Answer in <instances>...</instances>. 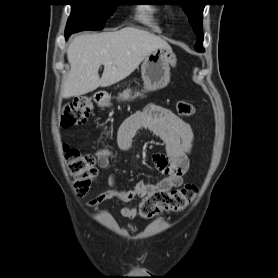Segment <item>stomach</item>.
<instances>
[{"label": "stomach", "mask_w": 278, "mask_h": 278, "mask_svg": "<svg viewBox=\"0 0 278 278\" xmlns=\"http://www.w3.org/2000/svg\"><path fill=\"white\" fill-rule=\"evenodd\" d=\"M177 63L176 55L172 49L157 48L146 56L141 65V74L144 82V88L147 91H155L164 88L170 82V70ZM136 97L131 89L124 90L118 96V100L131 101ZM101 105L110 106V96H106L101 101Z\"/></svg>", "instance_id": "1"}]
</instances>
